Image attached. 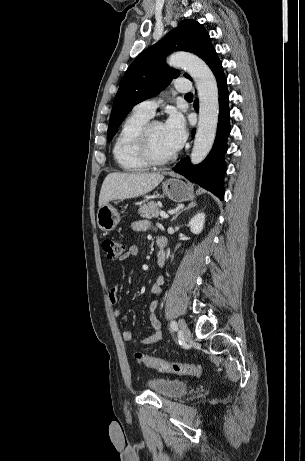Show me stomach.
Instances as JSON below:
<instances>
[{"label": "stomach", "instance_id": "stomach-1", "mask_svg": "<svg viewBox=\"0 0 305 461\" xmlns=\"http://www.w3.org/2000/svg\"><path fill=\"white\" fill-rule=\"evenodd\" d=\"M162 190L174 202L181 203L194 199L192 187L177 178H171L163 182ZM120 220V214L111 204L100 207L97 212V224L104 231L114 230Z\"/></svg>", "mask_w": 305, "mask_h": 461}]
</instances>
